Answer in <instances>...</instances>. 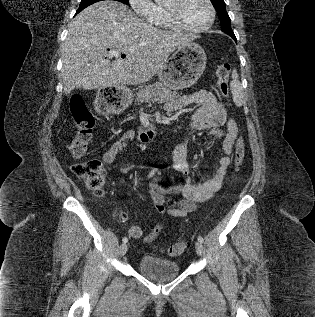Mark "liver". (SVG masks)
<instances>
[{
	"instance_id": "1",
	"label": "liver",
	"mask_w": 315,
	"mask_h": 317,
	"mask_svg": "<svg viewBox=\"0 0 315 317\" xmlns=\"http://www.w3.org/2000/svg\"><path fill=\"white\" fill-rule=\"evenodd\" d=\"M196 38L157 29L119 2H98L69 24L62 53L64 93L70 94L75 88L103 89L147 82L175 49ZM123 51L125 59L120 58ZM108 57L115 60L111 63Z\"/></svg>"
}]
</instances>
